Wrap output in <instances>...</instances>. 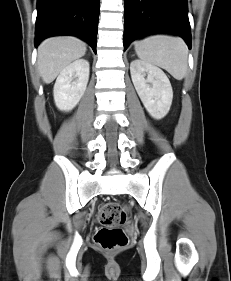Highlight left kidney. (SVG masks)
Here are the masks:
<instances>
[{"mask_svg":"<svg viewBox=\"0 0 231 281\" xmlns=\"http://www.w3.org/2000/svg\"><path fill=\"white\" fill-rule=\"evenodd\" d=\"M130 73L148 113L157 120L164 118L173 99L172 87L166 74L160 68L141 60L131 62Z\"/></svg>","mask_w":231,"mask_h":281,"instance_id":"5707ae66","label":"left kidney"}]
</instances>
